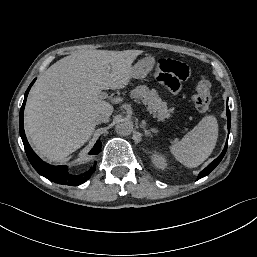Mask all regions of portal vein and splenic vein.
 <instances>
[{
    "label": "portal vein and splenic vein",
    "mask_w": 257,
    "mask_h": 257,
    "mask_svg": "<svg viewBox=\"0 0 257 257\" xmlns=\"http://www.w3.org/2000/svg\"><path fill=\"white\" fill-rule=\"evenodd\" d=\"M100 96H101L102 98H104V99L108 97V95H107L106 92H101ZM119 101H120V99H115V102H119Z\"/></svg>",
    "instance_id": "obj_1"
}]
</instances>
